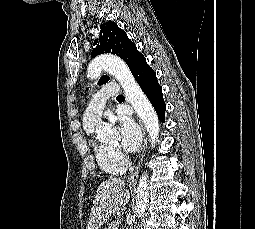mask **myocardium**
Here are the masks:
<instances>
[{
  "label": "myocardium",
  "mask_w": 255,
  "mask_h": 229,
  "mask_svg": "<svg viewBox=\"0 0 255 229\" xmlns=\"http://www.w3.org/2000/svg\"><path fill=\"white\" fill-rule=\"evenodd\" d=\"M112 150H114V151H116V152H118V147H116V148H112V147H110Z\"/></svg>",
  "instance_id": "f54148a6"
}]
</instances>
